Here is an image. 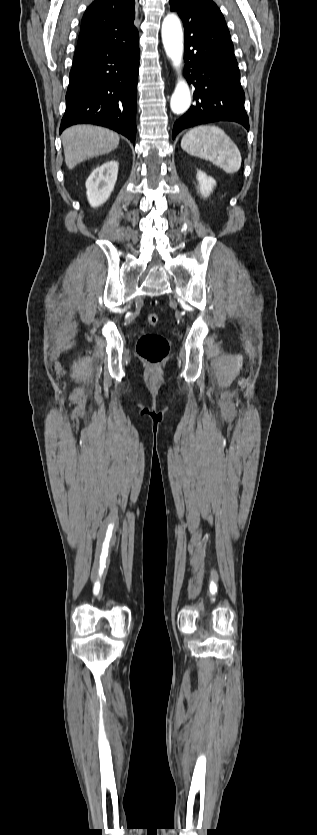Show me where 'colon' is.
Wrapping results in <instances>:
<instances>
[{
  "label": "colon",
  "mask_w": 317,
  "mask_h": 835,
  "mask_svg": "<svg viewBox=\"0 0 317 835\" xmlns=\"http://www.w3.org/2000/svg\"><path fill=\"white\" fill-rule=\"evenodd\" d=\"M159 315L150 313L146 318V323L149 326H156L159 323ZM169 352V344L167 340L155 333H148L143 335L137 344L138 355L148 364L152 366L160 365L166 358Z\"/></svg>",
  "instance_id": "5ec220e1"
}]
</instances>
